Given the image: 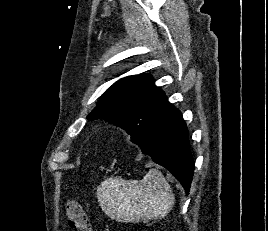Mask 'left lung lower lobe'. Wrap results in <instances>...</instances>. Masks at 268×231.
<instances>
[{
    "label": "left lung lower lobe",
    "instance_id": "0a47b994",
    "mask_svg": "<svg viewBox=\"0 0 268 231\" xmlns=\"http://www.w3.org/2000/svg\"><path fill=\"white\" fill-rule=\"evenodd\" d=\"M143 154L177 178L189 193L194 161L189 147V133L182 115L175 107L142 141L136 142Z\"/></svg>",
    "mask_w": 268,
    "mask_h": 231
}]
</instances>
